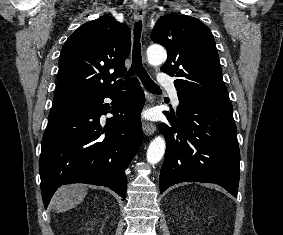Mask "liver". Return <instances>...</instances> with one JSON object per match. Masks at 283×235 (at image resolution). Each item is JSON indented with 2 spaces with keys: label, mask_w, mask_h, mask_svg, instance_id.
I'll use <instances>...</instances> for the list:
<instances>
[{
  "label": "liver",
  "mask_w": 283,
  "mask_h": 235,
  "mask_svg": "<svg viewBox=\"0 0 283 235\" xmlns=\"http://www.w3.org/2000/svg\"><path fill=\"white\" fill-rule=\"evenodd\" d=\"M87 195V187L83 184L61 186L55 193L52 203L56 212L70 210L80 204Z\"/></svg>",
  "instance_id": "1"
}]
</instances>
